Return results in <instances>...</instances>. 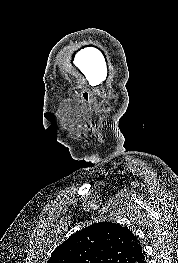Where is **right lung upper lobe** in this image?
Wrapping results in <instances>:
<instances>
[{
	"instance_id": "1",
	"label": "right lung upper lobe",
	"mask_w": 178,
	"mask_h": 263,
	"mask_svg": "<svg viewBox=\"0 0 178 263\" xmlns=\"http://www.w3.org/2000/svg\"><path fill=\"white\" fill-rule=\"evenodd\" d=\"M47 263H146L137 237L112 222L92 224L71 235Z\"/></svg>"
}]
</instances>
